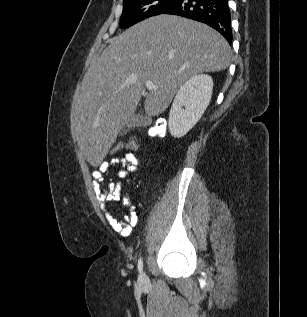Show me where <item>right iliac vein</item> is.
<instances>
[{
	"label": "right iliac vein",
	"mask_w": 307,
	"mask_h": 317,
	"mask_svg": "<svg viewBox=\"0 0 307 317\" xmlns=\"http://www.w3.org/2000/svg\"><path fill=\"white\" fill-rule=\"evenodd\" d=\"M138 281H139V284L143 287L148 284V277L146 276L145 273H141L139 275Z\"/></svg>",
	"instance_id": "63e3f726"
}]
</instances>
